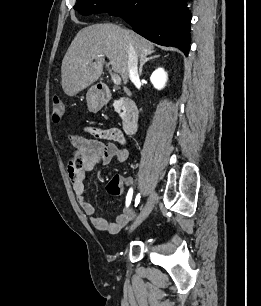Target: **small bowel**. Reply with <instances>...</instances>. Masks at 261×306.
I'll return each instance as SVG.
<instances>
[{
  "instance_id": "small-bowel-1",
  "label": "small bowel",
  "mask_w": 261,
  "mask_h": 306,
  "mask_svg": "<svg viewBox=\"0 0 261 306\" xmlns=\"http://www.w3.org/2000/svg\"><path fill=\"white\" fill-rule=\"evenodd\" d=\"M91 133L95 135V138L70 135L74 152L69 161V176L72 180V187L78 203L83 212L89 217L92 225L100 231L117 234L133 218L134 212L130 205L131 202L128 205L125 204L123 212L118 214L113 221L97 216L94 205L85 197V181L87 174L98 164H108L112 159L117 162H124L128 158V149L124 146L122 135L116 130L92 128ZM101 138L111 141L104 143L100 140ZM78 154L84 155V161L81 165H77L76 162ZM132 185L133 178L114 176L107 185V191L110 194L117 195L124 194L125 189L129 188L128 193L130 190L133 193Z\"/></svg>"
}]
</instances>
